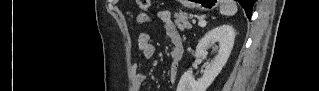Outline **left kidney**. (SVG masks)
<instances>
[{"mask_svg": "<svg viewBox=\"0 0 319 91\" xmlns=\"http://www.w3.org/2000/svg\"><path fill=\"white\" fill-rule=\"evenodd\" d=\"M235 40V30L224 24L207 32L196 46V56L205 59L208 49L212 48L215 56L205 64L202 78L195 80L191 71H186L177 86V91H206L225 66ZM218 44V45H217Z\"/></svg>", "mask_w": 319, "mask_h": 91, "instance_id": "obj_1", "label": "left kidney"}]
</instances>
